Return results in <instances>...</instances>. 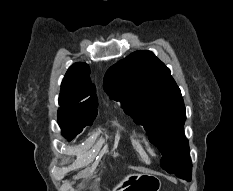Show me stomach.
<instances>
[{"instance_id": "stomach-1", "label": "stomach", "mask_w": 233, "mask_h": 191, "mask_svg": "<svg viewBox=\"0 0 233 191\" xmlns=\"http://www.w3.org/2000/svg\"><path fill=\"white\" fill-rule=\"evenodd\" d=\"M158 177L145 173H130L112 191H160Z\"/></svg>"}]
</instances>
